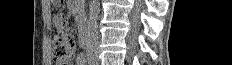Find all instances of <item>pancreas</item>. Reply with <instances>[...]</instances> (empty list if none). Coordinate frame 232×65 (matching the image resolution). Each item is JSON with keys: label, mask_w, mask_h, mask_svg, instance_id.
<instances>
[{"label": "pancreas", "mask_w": 232, "mask_h": 65, "mask_svg": "<svg viewBox=\"0 0 232 65\" xmlns=\"http://www.w3.org/2000/svg\"><path fill=\"white\" fill-rule=\"evenodd\" d=\"M74 12L78 13V18H80V11L76 9V7H73Z\"/></svg>", "instance_id": "pancreas-1"}]
</instances>
